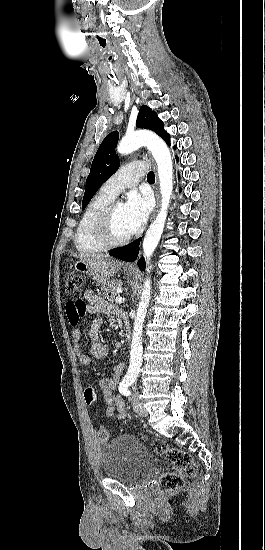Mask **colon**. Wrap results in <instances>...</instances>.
<instances>
[{"instance_id":"obj_1","label":"colon","mask_w":265,"mask_h":550,"mask_svg":"<svg viewBox=\"0 0 265 550\" xmlns=\"http://www.w3.org/2000/svg\"><path fill=\"white\" fill-rule=\"evenodd\" d=\"M84 287V279L80 274L75 272H67L64 274V288L68 295L74 296L82 291ZM70 304L77 309L75 314L69 315V322L74 327L77 326L83 311L85 303L82 300L71 301ZM86 404L94 406L97 402L96 391L93 387H87L84 392ZM97 436L100 442H107L109 439V431L106 427L100 426L97 430ZM153 451L157 454L164 455L166 463L173 469L171 472L165 473L160 480L159 490L161 492H169L180 488L183 485L185 478H190L196 475L197 466L192 457L185 451L178 448L168 447L165 441L154 439L151 442Z\"/></svg>"}]
</instances>
